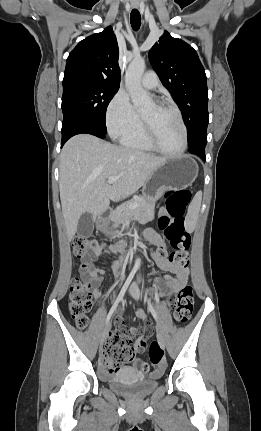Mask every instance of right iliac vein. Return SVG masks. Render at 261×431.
<instances>
[{
	"label": "right iliac vein",
	"instance_id": "right-iliac-vein-1",
	"mask_svg": "<svg viewBox=\"0 0 261 431\" xmlns=\"http://www.w3.org/2000/svg\"><path fill=\"white\" fill-rule=\"evenodd\" d=\"M110 327H111V323L108 322V324L106 325V327L104 329V332H103V335H102V338H101V342H100V346L103 344V342H104V340H105V338L107 336V333L110 330Z\"/></svg>",
	"mask_w": 261,
	"mask_h": 431
}]
</instances>
